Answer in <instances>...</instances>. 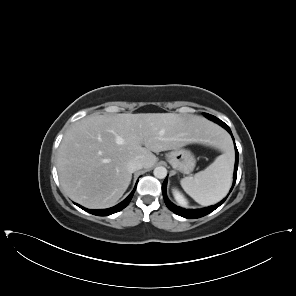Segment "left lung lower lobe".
Instances as JSON below:
<instances>
[{"label": "left lung lower lobe", "mask_w": 296, "mask_h": 296, "mask_svg": "<svg viewBox=\"0 0 296 296\" xmlns=\"http://www.w3.org/2000/svg\"><path fill=\"white\" fill-rule=\"evenodd\" d=\"M219 124L221 126H223L225 129H227V131L232 135L230 128L225 123H219ZM234 143H235V141H234ZM235 148H236V145H235ZM237 169H238V150L236 148V161H235V169H234L233 186H234V184L236 182ZM166 185H167V178L164 180L163 185H162V193H163L164 201H165L167 207L171 211L176 213L177 215H180V216L185 217V218L194 219V218H200L202 216H205V215L211 213L212 211H214L216 208H218L226 200V198H225L221 202H219L218 204H216L214 206H210L208 208L196 209V210H190L189 209L188 210V209L178 207V206L174 205L173 203H171L169 201V199L167 198V195H166ZM233 186H232L231 190L233 189Z\"/></svg>", "instance_id": "0a47b994"}]
</instances>
